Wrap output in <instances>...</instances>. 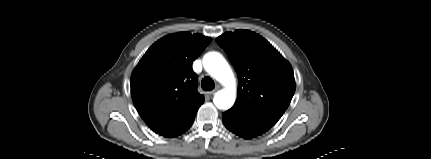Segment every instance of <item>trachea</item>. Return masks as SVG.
Returning a JSON list of instances; mask_svg holds the SVG:
<instances>
[{
	"instance_id": "trachea-1",
	"label": "trachea",
	"mask_w": 431,
	"mask_h": 159,
	"mask_svg": "<svg viewBox=\"0 0 431 159\" xmlns=\"http://www.w3.org/2000/svg\"><path fill=\"white\" fill-rule=\"evenodd\" d=\"M201 87L205 91H211L215 88V83L210 77L206 76L201 81Z\"/></svg>"
}]
</instances>
